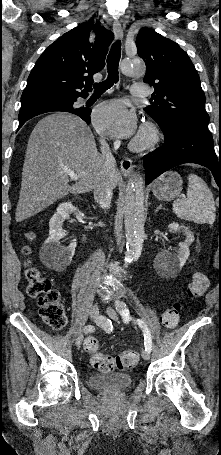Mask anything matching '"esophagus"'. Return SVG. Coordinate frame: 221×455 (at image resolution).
<instances>
[{
  "instance_id": "esophagus-1",
  "label": "esophagus",
  "mask_w": 221,
  "mask_h": 455,
  "mask_svg": "<svg viewBox=\"0 0 221 455\" xmlns=\"http://www.w3.org/2000/svg\"><path fill=\"white\" fill-rule=\"evenodd\" d=\"M113 32L116 35L117 38L121 39L123 37V29L121 27V24L118 20H115L113 23ZM132 161L129 158H123L120 161V169L121 172L125 177L130 176L132 173Z\"/></svg>"
}]
</instances>
